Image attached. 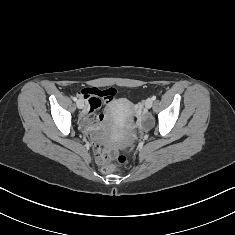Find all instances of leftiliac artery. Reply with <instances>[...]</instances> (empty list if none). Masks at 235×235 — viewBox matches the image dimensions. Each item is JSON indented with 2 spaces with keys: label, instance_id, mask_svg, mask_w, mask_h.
<instances>
[{
  "label": "left iliac artery",
  "instance_id": "obj_1",
  "mask_svg": "<svg viewBox=\"0 0 235 235\" xmlns=\"http://www.w3.org/2000/svg\"><path fill=\"white\" fill-rule=\"evenodd\" d=\"M152 100H156V96L154 95V96H152Z\"/></svg>",
  "mask_w": 235,
  "mask_h": 235
}]
</instances>
